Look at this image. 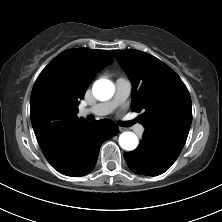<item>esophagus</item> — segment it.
<instances>
[{"instance_id": "obj_1", "label": "esophagus", "mask_w": 222, "mask_h": 222, "mask_svg": "<svg viewBox=\"0 0 222 222\" xmlns=\"http://www.w3.org/2000/svg\"><path fill=\"white\" fill-rule=\"evenodd\" d=\"M127 130V128H125V127H119V131L120 132H124V131H126Z\"/></svg>"}]
</instances>
